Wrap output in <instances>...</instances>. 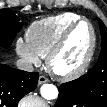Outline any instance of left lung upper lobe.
<instances>
[{"mask_svg": "<svg viewBox=\"0 0 107 107\" xmlns=\"http://www.w3.org/2000/svg\"><path fill=\"white\" fill-rule=\"evenodd\" d=\"M99 25H100L101 36H102L101 52H103V54L105 55V59L107 62V28L101 20H99Z\"/></svg>", "mask_w": 107, "mask_h": 107, "instance_id": "1", "label": "left lung upper lobe"}]
</instances>
